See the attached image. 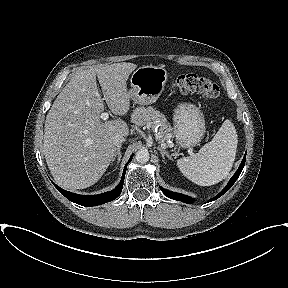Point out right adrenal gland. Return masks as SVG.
Listing matches in <instances>:
<instances>
[{"instance_id": "2a0ac1e0", "label": "right adrenal gland", "mask_w": 288, "mask_h": 288, "mask_svg": "<svg viewBox=\"0 0 288 288\" xmlns=\"http://www.w3.org/2000/svg\"><path fill=\"white\" fill-rule=\"evenodd\" d=\"M121 147H122V145L120 144L117 148L116 155H115V157H117V164L120 162V159H121V152H120ZM115 157H114L113 161L115 160Z\"/></svg>"}]
</instances>
